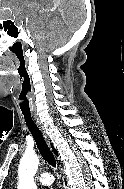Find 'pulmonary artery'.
I'll return each instance as SVG.
<instances>
[{"label": "pulmonary artery", "mask_w": 124, "mask_h": 189, "mask_svg": "<svg viewBox=\"0 0 124 189\" xmlns=\"http://www.w3.org/2000/svg\"><path fill=\"white\" fill-rule=\"evenodd\" d=\"M37 181L39 183H41L42 185H50L53 183L54 181V177L52 176V174L48 173V172H44L41 173L38 177H37Z\"/></svg>", "instance_id": "e3ab8cb5"}]
</instances>
